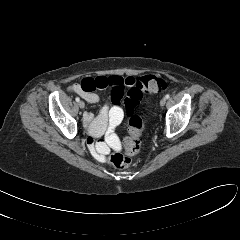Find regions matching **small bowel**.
<instances>
[{
  "mask_svg": "<svg viewBox=\"0 0 240 240\" xmlns=\"http://www.w3.org/2000/svg\"><path fill=\"white\" fill-rule=\"evenodd\" d=\"M136 83L134 77L121 76H98L96 78L86 77L80 83L73 84L70 90L79 94L88 103H96L99 101V96L95 93L96 90L111 88L112 106L105 104L100 110L99 115L94 118L92 114L85 113L83 116L91 138L100 137L106 129L112 130L118 126L123 120V110L121 102Z\"/></svg>",
  "mask_w": 240,
  "mask_h": 240,
  "instance_id": "1",
  "label": "small bowel"
}]
</instances>
